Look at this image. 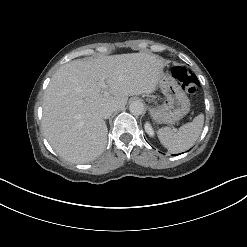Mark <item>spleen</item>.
I'll return each mask as SVG.
<instances>
[{
    "instance_id": "1",
    "label": "spleen",
    "mask_w": 247,
    "mask_h": 247,
    "mask_svg": "<svg viewBox=\"0 0 247 247\" xmlns=\"http://www.w3.org/2000/svg\"><path fill=\"white\" fill-rule=\"evenodd\" d=\"M203 124L204 115L199 114L192 122L181 126L177 131L168 127L159 129L158 138L170 153L183 152L195 144L202 132Z\"/></svg>"
}]
</instances>
